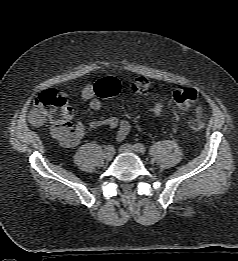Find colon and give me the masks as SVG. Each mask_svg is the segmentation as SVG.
I'll return each mask as SVG.
<instances>
[{"instance_id":"obj_1","label":"colon","mask_w":238,"mask_h":261,"mask_svg":"<svg viewBox=\"0 0 238 261\" xmlns=\"http://www.w3.org/2000/svg\"><path fill=\"white\" fill-rule=\"evenodd\" d=\"M99 97L106 98L117 95L121 90V83L117 78L107 77L95 85ZM151 84L145 77L134 79L130 85L133 94L144 95L150 91ZM173 100L177 106L190 109L198 100V92L192 87L179 86L173 91ZM71 117L68 97L55 89H47L34 100V108L30 113V120L35 125H41L46 120L51 124L66 122ZM204 108L195 107V117L190 122V128L197 132L203 127Z\"/></svg>"}]
</instances>
